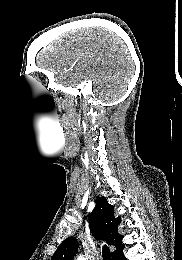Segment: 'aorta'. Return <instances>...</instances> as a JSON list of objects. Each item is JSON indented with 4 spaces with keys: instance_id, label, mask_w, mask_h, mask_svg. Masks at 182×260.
<instances>
[{
    "instance_id": "aorta-1",
    "label": "aorta",
    "mask_w": 182,
    "mask_h": 260,
    "mask_svg": "<svg viewBox=\"0 0 182 260\" xmlns=\"http://www.w3.org/2000/svg\"><path fill=\"white\" fill-rule=\"evenodd\" d=\"M77 260H86L83 256H79Z\"/></svg>"
}]
</instances>
